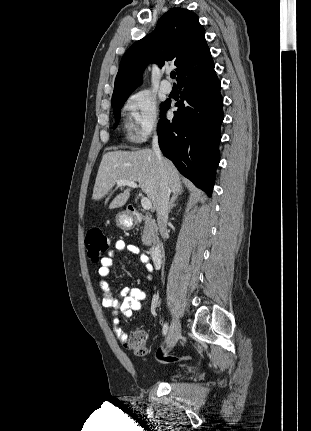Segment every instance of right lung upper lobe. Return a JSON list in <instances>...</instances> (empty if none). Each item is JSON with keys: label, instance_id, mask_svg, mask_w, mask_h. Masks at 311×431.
Returning a JSON list of instances; mask_svg holds the SVG:
<instances>
[{"label": "right lung upper lobe", "instance_id": "1", "mask_svg": "<svg viewBox=\"0 0 311 431\" xmlns=\"http://www.w3.org/2000/svg\"><path fill=\"white\" fill-rule=\"evenodd\" d=\"M165 61H172L176 66L178 86L213 66L205 29L188 9L172 8L166 12L151 34L126 51L120 62L112 99L129 96L141 84L142 73L149 63L161 67Z\"/></svg>", "mask_w": 311, "mask_h": 431}]
</instances>
